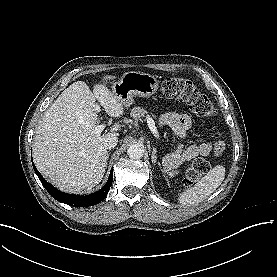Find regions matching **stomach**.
Here are the masks:
<instances>
[{"label":"stomach","instance_id":"1","mask_svg":"<svg viewBox=\"0 0 277 277\" xmlns=\"http://www.w3.org/2000/svg\"><path fill=\"white\" fill-rule=\"evenodd\" d=\"M159 88V80L151 74L137 71L126 72L113 84L112 93L124 107L133 104V97H150Z\"/></svg>","mask_w":277,"mask_h":277}]
</instances>
